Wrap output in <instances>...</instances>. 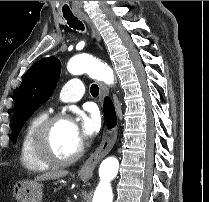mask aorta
I'll use <instances>...</instances> for the list:
<instances>
[{
	"label": "aorta",
	"mask_w": 209,
	"mask_h": 202,
	"mask_svg": "<svg viewBox=\"0 0 209 202\" xmlns=\"http://www.w3.org/2000/svg\"><path fill=\"white\" fill-rule=\"evenodd\" d=\"M67 69L72 75L86 73L90 77L103 80L106 84L114 82L112 69L90 55L82 54L72 57L67 64ZM118 170L117 158L108 157L102 161L99 168L100 181L95 189L92 202L113 201L111 181L117 176Z\"/></svg>",
	"instance_id": "762f6f07"
}]
</instances>
